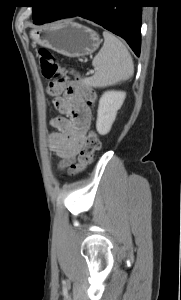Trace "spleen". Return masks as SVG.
<instances>
[{
	"instance_id": "obj_1",
	"label": "spleen",
	"mask_w": 181,
	"mask_h": 300,
	"mask_svg": "<svg viewBox=\"0 0 181 300\" xmlns=\"http://www.w3.org/2000/svg\"><path fill=\"white\" fill-rule=\"evenodd\" d=\"M104 44L94 57L92 65L96 72L83 83L103 88L128 80L134 73L133 59L126 46L112 33L103 32Z\"/></svg>"
}]
</instances>
